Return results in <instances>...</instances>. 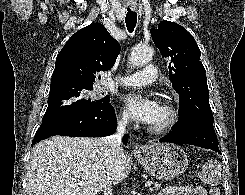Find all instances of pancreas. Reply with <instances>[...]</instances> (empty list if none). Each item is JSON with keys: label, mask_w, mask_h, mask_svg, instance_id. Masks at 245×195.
I'll return each instance as SVG.
<instances>
[{"label": "pancreas", "mask_w": 245, "mask_h": 195, "mask_svg": "<svg viewBox=\"0 0 245 195\" xmlns=\"http://www.w3.org/2000/svg\"><path fill=\"white\" fill-rule=\"evenodd\" d=\"M160 187H161V184H159V183H155V184H154V188H155V189H159Z\"/></svg>", "instance_id": "cf45deb5"}]
</instances>
